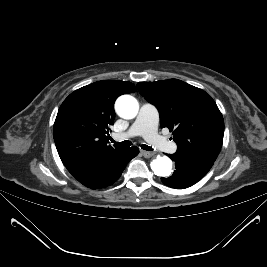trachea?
<instances>
[{
  "instance_id": "trachea-1",
  "label": "trachea",
  "mask_w": 267,
  "mask_h": 267,
  "mask_svg": "<svg viewBox=\"0 0 267 267\" xmlns=\"http://www.w3.org/2000/svg\"><path fill=\"white\" fill-rule=\"evenodd\" d=\"M111 142L114 143L115 145L119 146V147H129V146L132 145L131 141H129V140L122 141V142H116V141H114V140H111ZM141 148H142L143 150H146V151H152V150H153L152 147L147 146V145H145V144H142V145H141Z\"/></svg>"
}]
</instances>
